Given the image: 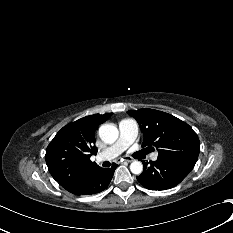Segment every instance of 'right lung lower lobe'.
<instances>
[{
	"instance_id": "right-lung-lower-lobe-1",
	"label": "right lung lower lobe",
	"mask_w": 233,
	"mask_h": 233,
	"mask_svg": "<svg viewBox=\"0 0 233 233\" xmlns=\"http://www.w3.org/2000/svg\"><path fill=\"white\" fill-rule=\"evenodd\" d=\"M117 165L113 164L111 168H97L83 183L80 190L75 195H92L104 191L110 184Z\"/></svg>"
}]
</instances>
